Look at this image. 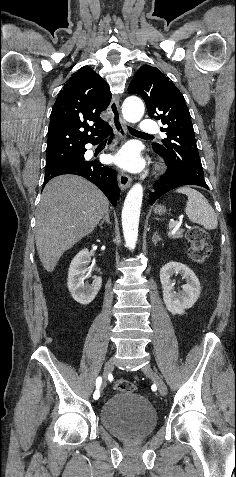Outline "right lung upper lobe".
Listing matches in <instances>:
<instances>
[{
    "instance_id": "obj_1",
    "label": "right lung upper lobe",
    "mask_w": 236,
    "mask_h": 477,
    "mask_svg": "<svg viewBox=\"0 0 236 477\" xmlns=\"http://www.w3.org/2000/svg\"><path fill=\"white\" fill-rule=\"evenodd\" d=\"M111 97L107 83L90 67L72 74L51 112L46 166L59 165L107 132L110 126L100 113L106 110Z\"/></svg>"
}]
</instances>
